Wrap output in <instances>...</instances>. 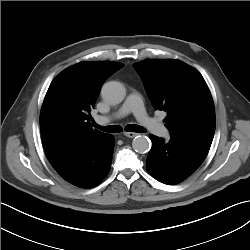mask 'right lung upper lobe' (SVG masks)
Returning a JSON list of instances; mask_svg holds the SVG:
<instances>
[{
    "label": "right lung upper lobe",
    "mask_w": 250,
    "mask_h": 250,
    "mask_svg": "<svg viewBox=\"0 0 250 250\" xmlns=\"http://www.w3.org/2000/svg\"><path fill=\"white\" fill-rule=\"evenodd\" d=\"M123 66L109 61L80 62L52 81L40 113L43 145L52 166L106 135L92 130L90 111L103 83Z\"/></svg>",
    "instance_id": "right-lung-upper-lobe-1"
}]
</instances>
